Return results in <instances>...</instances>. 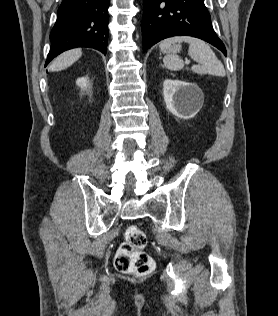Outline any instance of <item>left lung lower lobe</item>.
Listing matches in <instances>:
<instances>
[{
    "instance_id": "obj_1",
    "label": "left lung lower lobe",
    "mask_w": 278,
    "mask_h": 316,
    "mask_svg": "<svg viewBox=\"0 0 278 316\" xmlns=\"http://www.w3.org/2000/svg\"><path fill=\"white\" fill-rule=\"evenodd\" d=\"M182 35L205 40L226 55L203 0H144L143 51L165 38Z\"/></svg>"
}]
</instances>
